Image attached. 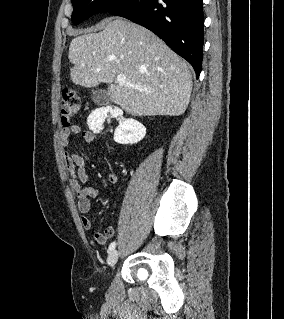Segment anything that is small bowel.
<instances>
[{
  "label": "small bowel",
  "mask_w": 284,
  "mask_h": 319,
  "mask_svg": "<svg viewBox=\"0 0 284 319\" xmlns=\"http://www.w3.org/2000/svg\"><path fill=\"white\" fill-rule=\"evenodd\" d=\"M79 134L87 144H92L97 140V136L91 131H84L78 125H69L63 127L61 132V142L63 145H68L71 135ZM65 165L70 174V185L76 193L77 207L81 213V224L84 229L92 228V221L88 216L91 210V199L98 196V189L94 186H88V173L86 170V161L83 156L76 153H66ZM108 180L111 183H116L118 176L114 171L109 172ZM115 234V229L112 226L106 227L103 232H95L93 240L98 244H104L108 239Z\"/></svg>",
  "instance_id": "obj_1"
}]
</instances>
